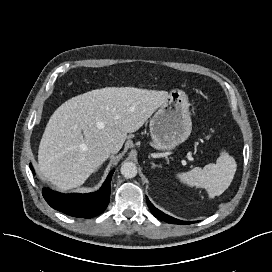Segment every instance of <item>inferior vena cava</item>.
Instances as JSON below:
<instances>
[{"instance_id": "obj_1", "label": "inferior vena cava", "mask_w": 272, "mask_h": 272, "mask_svg": "<svg viewBox=\"0 0 272 272\" xmlns=\"http://www.w3.org/2000/svg\"><path fill=\"white\" fill-rule=\"evenodd\" d=\"M104 149L109 153H116L118 151V146L113 142L104 143Z\"/></svg>"}]
</instances>
